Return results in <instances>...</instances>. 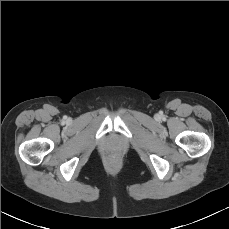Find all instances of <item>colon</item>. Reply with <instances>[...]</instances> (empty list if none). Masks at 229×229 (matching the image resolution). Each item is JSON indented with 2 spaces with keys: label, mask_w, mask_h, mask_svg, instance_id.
I'll list each match as a JSON object with an SVG mask.
<instances>
[{
  "label": "colon",
  "mask_w": 229,
  "mask_h": 229,
  "mask_svg": "<svg viewBox=\"0 0 229 229\" xmlns=\"http://www.w3.org/2000/svg\"><path fill=\"white\" fill-rule=\"evenodd\" d=\"M108 157L110 160L115 161V160H118L120 158V155L117 152H111V153H109Z\"/></svg>",
  "instance_id": "5ec220e1"
}]
</instances>
